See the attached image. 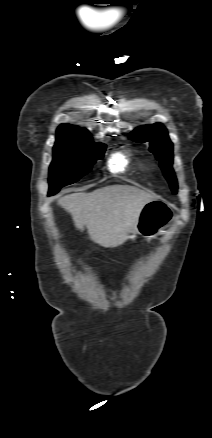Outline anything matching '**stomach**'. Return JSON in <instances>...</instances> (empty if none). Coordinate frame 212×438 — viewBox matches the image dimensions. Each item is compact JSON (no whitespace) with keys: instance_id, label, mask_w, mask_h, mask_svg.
I'll return each mask as SVG.
<instances>
[{"instance_id":"stomach-1","label":"stomach","mask_w":212,"mask_h":438,"mask_svg":"<svg viewBox=\"0 0 212 438\" xmlns=\"http://www.w3.org/2000/svg\"><path fill=\"white\" fill-rule=\"evenodd\" d=\"M174 221V213L170 206L158 199L144 205L138 223L134 230L129 232L128 238H135L140 234L150 240L163 235Z\"/></svg>"}]
</instances>
